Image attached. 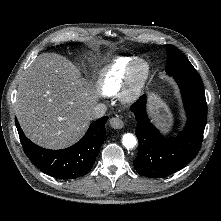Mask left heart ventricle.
I'll return each instance as SVG.
<instances>
[{"instance_id":"obj_1","label":"left heart ventricle","mask_w":221,"mask_h":221,"mask_svg":"<svg viewBox=\"0 0 221 221\" xmlns=\"http://www.w3.org/2000/svg\"><path fill=\"white\" fill-rule=\"evenodd\" d=\"M142 66H139L138 68H137V71H136V77H140V75H141V73H142Z\"/></svg>"}]
</instances>
